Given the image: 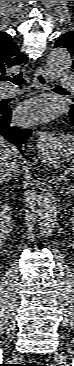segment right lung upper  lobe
<instances>
[{
    "label": "right lung upper lobe",
    "instance_id": "obj_1",
    "mask_svg": "<svg viewBox=\"0 0 74 366\" xmlns=\"http://www.w3.org/2000/svg\"><path fill=\"white\" fill-rule=\"evenodd\" d=\"M27 61L26 56L18 50L11 36L0 32V81L10 69Z\"/></svg>",
    "mask_w": 74,
    "mask_h": 366
}]
</instances>
